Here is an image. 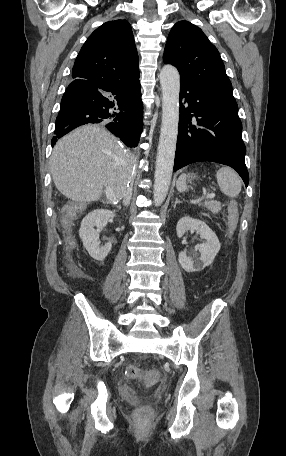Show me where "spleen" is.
<instances>
[{"mask_svg": "<svg viewBox=\"0 0 286 456\" xmlns=\"http://www.w3.org/2000/svg\"><path fill=\"white\" fill-rule=\"evenodd\" d=\"M217 183L220 190L229 197H236L241 191L242 182L239 175L229 167H222L216 173ZM186 186V175L182 174L177 181V190L179 192H185Z\"/></svg>", "mask_w": 286, "mask_h": 456, "instance_id": "obj_1", "label": "spleen"}]
</instances>
